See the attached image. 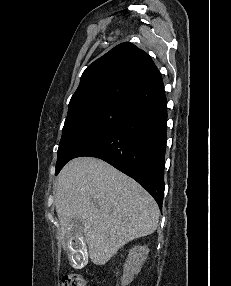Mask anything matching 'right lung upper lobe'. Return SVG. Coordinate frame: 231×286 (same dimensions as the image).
I'll return each mask as SVG.
<instances>
[{"label": "right lung upper lobe", "instance_id": "right-lung-upper-lobe-1", "mask_svg": "<svg viewBox=\"0 0 231 286\" xmlns=\"http://www.w3.org/2000/svg\"><path fill=\"white\" fill-rule=\"evenodd\" d=\"M161 82L157 67L144 51L129 42L121 43L83 72L69 102L68 114L103 101L131 106Z\"/></svg>", "mask_w": 231, "mask_h": 286}]
</instances>
